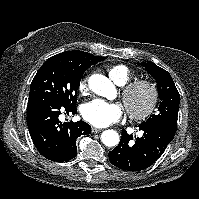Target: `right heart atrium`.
Masks as SVG:
<instances>
[{"mask_svg": "<svg viewBox=\"0 0 199 199\" xmlns=\"http://www.w3.org/2000/svg\"><path fill=\"white\" fill-rule=\"evenodd\" d=\"M78 91L81 94H85L88 91V81L87 79H82L78 84Z\"/></svg>", "mask_w": 199, "mask_h": 199, "instance_id": "d8ad5b80", "label": "right heart atrium"}]
</instances>
